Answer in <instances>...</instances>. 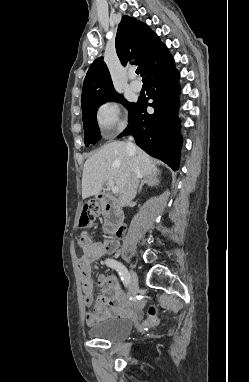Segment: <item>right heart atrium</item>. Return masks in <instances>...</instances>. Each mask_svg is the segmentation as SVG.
<instances>
[{
  "mask_svg": "<svg viewBox=\"0 0 249 382\" xmlns=\"http://www.w3.org/2000/svg\"><path fill=\"white\" fill-rule=\"evenodd\" d=\"M96 122L100 130L106 134L118 133L125 126L121 108L115 101H108L98 108Z\"/></svg>",
  "mask_w": 249,
  "mask_h": 382,
  "instance_id": "1",
  "label": "right heart atrium"
}]
</instances>
